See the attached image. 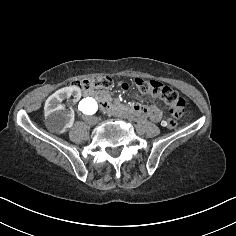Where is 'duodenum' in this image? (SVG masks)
I'll list each match as a JSON object with an SVG mask.
<instances>
[{
    "label": "duodenum",
    "mask_w": 236,
    "mask_h": 236,
    "mask_svg": "<svg viewBox=\"0 0 236 236\" xmlns=\"http://www.w3.org/2000/svg\"><path fill=\"white\" fill-rule=\"evenodd\" d=\"M84 95L88 97L96 98L99 101L102 111L106 114L116 116H130L135 114L133 106H127L120 103H113L108 99L101 96L97 91L88 89L84 90Z\"/></svg>",
    "instance_id": "410a0bca"
}]
</instances>
